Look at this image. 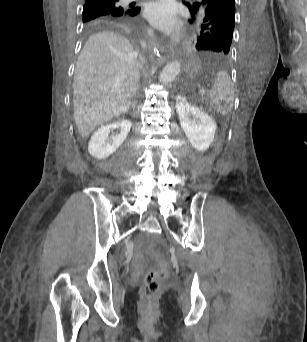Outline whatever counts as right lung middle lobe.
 <instances>
[{
    "label": "right lung middle lobe",
    "instance_id": "obj_1",
    "mask_svg": "<svg viewBox=\"0 0 307 342\" xmlns=\"http://www.w3.org/2000/svg\"><path fill=\"white\" fill-rule=\"evenodd\" d=\"M106 13H107V11H105V10H96V9L83 10L82 21L85 22V21L94 19L96 17H99L101 15H104Z\"/></svg>",
    "mask_w": 307,
    "mask_h": 342
}]
</instances>
